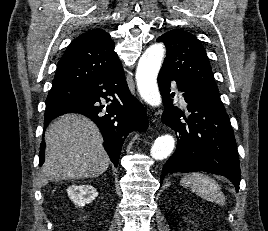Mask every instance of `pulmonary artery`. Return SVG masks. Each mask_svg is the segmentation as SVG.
<instances>
[{
  "label": "pulmonary artery",
  "mask_w": 268,
  "mask_h": 231,
  "mask_svg": "<svg viewBox=\"0 0 268 231\" xmlns=\"http://www.w3.org/2000/svg\"><path fill=\"white\" fill-rule=\"evenodd\" d=\"M181 99H183V93L181 91L178 92Z\"/></svg>",
  "instance_id": "pulmonary-artery-1"
}]
</instances>
